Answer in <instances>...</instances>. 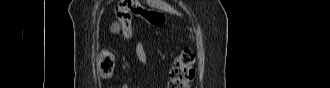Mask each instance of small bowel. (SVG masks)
<instances>
[{
  "instance_id": "small-bowel-1",
  "label": "small bowel",
  "mask_w": 330,
  "mask_h": 88,
  "mask_svg": "<svg viewBox=\"0 0 330 88\" xmlns=\"http://www.w3.org/2000/svg\"><path fill=\"white\" fill-rule=\"evenodd\" d=\"M135 56L140 63L148 65L149 57L141 41L135 43Z\"/></svg>"
}]
</instances>
